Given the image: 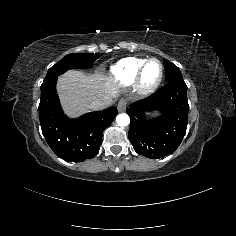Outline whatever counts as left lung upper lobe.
<instances>
[{"label": "left lung upper lobe", "mask_w": 236, "mask_h": 236, "mask_svg": "<svg viewBox=\"0 0 236 236\" xmlns=\"http://www.w3.org/2000/svg\"><path fill=\"white\" fill-rule=\"evenodd\" d=\"M164 66L166 69L165 76L168 82L184 81L182 74L176 65H174L167 59H164Z\"/></svg>", "instance_id": "5c2ea615"}]
</instances>
